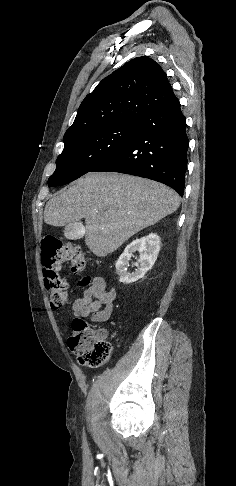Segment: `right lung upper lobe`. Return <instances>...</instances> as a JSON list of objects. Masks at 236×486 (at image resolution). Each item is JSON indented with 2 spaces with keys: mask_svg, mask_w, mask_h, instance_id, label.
I'll return each mask as SVG.
<instances>
[{
  "mask_svg": "<svg viewBox=\"0 0 236 486\" xmlns=\"http://www.w3.org/2000/svg\"><path fill=\"white\" fill-rule=\"evenodd\" d=\"M177 102L160 65L146 56L134 58L85 97L64 140L97 128L137 123L150 112Z\"/></svg>",
  "mask_w": 236,
  "mask_h": 486,
  "instance_id": "cb5924a9",
  "label": "right lung upper lobe"
}]
</instances>
